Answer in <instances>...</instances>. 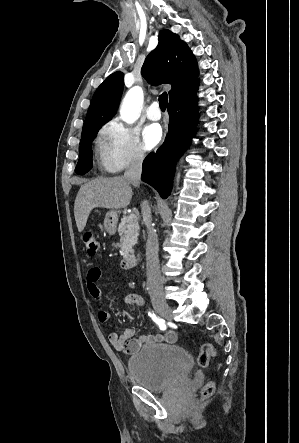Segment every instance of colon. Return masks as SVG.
Returning a JSON list of instances; mask_svg holds the SVG:
<instances>
[{"label":"colon","mask_w":299,"mask_h":443,"mask_svg":"<svg viewBox=\"0 0 299 443\" xmlns=\"http://www.w3.org/2000/svg\"><path fill=\"white\" fill-rule=\"evenodd\" d=\"M85 251L89 256H94L99 250V241L96 233L94 231L88 230L83 233L82 236ZM215 354V349L211 344H203L200 348L198 355V364L201 367H207L211 357ZM214 392V384L212 382L207 383L203 390V397H209Z\"/></svg>","instance_id":"obj_1"}]
</instances>
